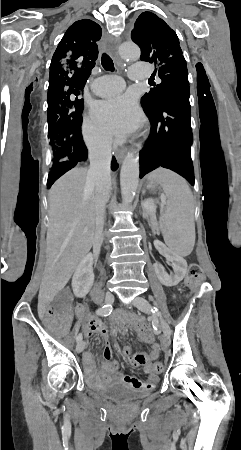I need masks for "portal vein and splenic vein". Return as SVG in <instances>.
Listing matches in <instances>:
<instances>
[{
    "mask_svg": "<svg viewBox=\"0 0 241 450\" xmlns=\"http://www.w3.org/2000/svg\"><path fill=\"white\" fill-rule=\"evenodd\" d=\"M156 203L155 202H152V203H147V202H144L143 203V206L144 207H146L145 209H144V212L145 213H148V214H150V213H156ZM161 209H166V204H161Z\"/></svg>",
    "mask_w": 241,
    "mask_h": 450,
    "instance_id": "18ae733b",
    "label": "portal vein and splenic vein"
}]
</instances>
